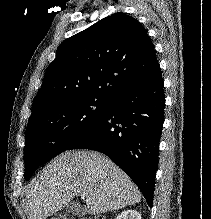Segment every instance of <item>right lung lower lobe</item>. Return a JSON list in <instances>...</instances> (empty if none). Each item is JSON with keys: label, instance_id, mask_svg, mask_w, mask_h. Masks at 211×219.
I'll return each mask as SVG.
<instances>
[{"label": "right lung lower lobe", "instance_id": "obj_1", "mask_svg": "<svg viewBox=\"0 0 211 219\" xmlns=\"http://www.w3.org/2000/svg\"><path fill=\"white\" fill-rule=\"evenodd\" d=\"M163 88L157 64L145 79L116 95L100 121L67 149L107 155L135 182L150 207L164 122Z\"/></svg>", "mask_w": 211, "mask_h": 219}]
</instances>
